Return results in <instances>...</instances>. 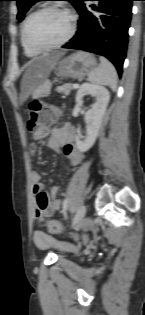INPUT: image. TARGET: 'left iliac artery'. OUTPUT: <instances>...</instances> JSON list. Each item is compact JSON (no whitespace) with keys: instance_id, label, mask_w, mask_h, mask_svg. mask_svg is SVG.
Masks as SVG:
<instances>
[{"instance_id":"obj_1","label":"left iliac artery","mask_w":145,"mask_h":315,"mask_svg":"<svg viewBox=\"0 0 145 315\" xmlns=\"http://www.w3.org/2000/svg\"><path fill=\"white\" fill-rule=\"evenodd\" d=\"M68 202H69V200L67 198L63 201V212H64V216L66 219H67L66 211H67V207H68Z\"/></svg>"}]
</instances>
